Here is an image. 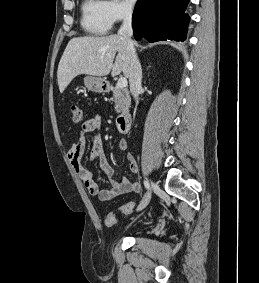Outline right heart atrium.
<instances>
[{
  "mask_svg": "<svg viewBox=\"0 0 259 283\" xmlns=\"http://www.w3.org/2000/svg\"><path fill=\"white\" fill-rule=\"evenodd\" d=\"M105 8L112 23L129 18L134 12V6L129 0H106Z\"/></svg>",
  "mask_w": 259,
  "mask_h": 283,
  "instance_id": "1",
  "label": "right heart atrium"
}]
</instances>
